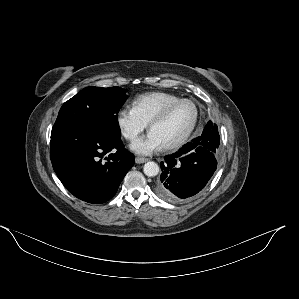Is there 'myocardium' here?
<instances>
[{"label":"myocardium","mask_w":299,"mask_h":299,"mask_svg":"<svg viewBox=\"0 0 299 299\" xmlns=\"http://www.w3.org/2000/svg\"><path fill=\"white\" fill-rule=\"evenodd\" d=\"M182 103H190L194 107V110H195L194 119H193L190 127L187 129V131L180 138H178L176 141H174V142H172V143H170L168 145L163 146V149H165V150H174V149H177V148L181 147L189 139V137L192 135V133L194 132V130H195L197 124H198L199 117H200V109H199L198 104L193 99H190V98H181V99H178L177 101H174V102L166 105L149 122L148 127H149V130L151 131V129L155 125H157V124L161 123L162 121H164L168 117V115L177 106H179Z\"/></svg>","instance_id":"f54148a6"}]
</instances>
